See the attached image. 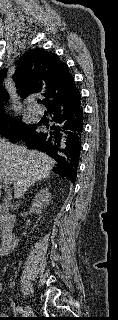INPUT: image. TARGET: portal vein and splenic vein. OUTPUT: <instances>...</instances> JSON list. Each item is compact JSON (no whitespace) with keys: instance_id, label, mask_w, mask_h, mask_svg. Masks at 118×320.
I'll return each instance as SVG.
<instances>
[{"instance_id":"18ae733b","label":"portal vein and splenic vein","mask_w":118,"mask_h":320,"mask_svg":"<svg viewBox=\"0 0 118 320\" xmlns=\"http://www.w3.org/2000/svg\"><path fill=\"white\" fill-rule=\"evenodd\" d=\"M1 181L5 184V186L7 187L9 184H12V181L8 180V179H1Z\"/></svg>"}]
</instances>
